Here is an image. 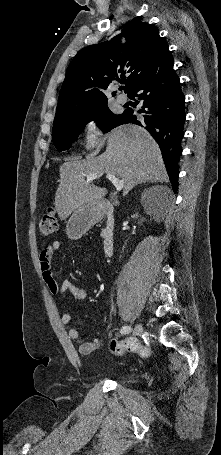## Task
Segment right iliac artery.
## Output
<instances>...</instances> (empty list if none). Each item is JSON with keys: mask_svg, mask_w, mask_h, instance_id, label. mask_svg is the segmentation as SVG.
<instances>
[{"mask_svg": "<svg viewBox=\"0 0 221 455\" xmlns=\"http://www.w3.org/2000/svg\"><path fill=\"white\" fill-rule=\"evenodd\" d=\"M131 330L132 329L130 326H124V327H122L120 332H121V334H127V333L131 332Z\"/></svg>", "mask_w": 221, "mask_h": 455, "instance_id": "82829eb1", "label": "right iliac artery"}]
</instances>
